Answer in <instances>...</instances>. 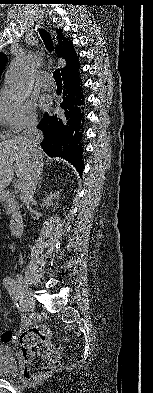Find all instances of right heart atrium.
Wrapping results in <instances>:
<instances>
[{
    "instance_id": "1",
    "label": "right heart atrium",
    "mask_w": 153,
    "mask_h": 393,
    "mask_svg": "<svg viewBox=\"0 0 153 393\" xmlns=\"http://www.w3.org/2000/svg\"><path fill=\"white\" fill-rule=\"evenodd\" d=\"M0 122L14 135L34 129L37 124L35 104L26 99H7L0 105Z\"/></svg>"
}]
</instances>
